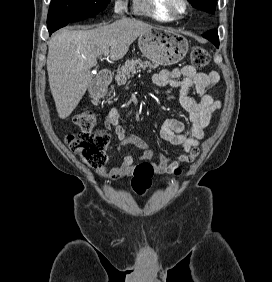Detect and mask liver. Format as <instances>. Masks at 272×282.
Listing matches in <instances>:
<instances>
[{
    "mask_svg": "<svg viewBox=\"0 0 272 282\" xmlns=\"http://www.w3.org/2000/svg\"><path fill=\"white\" fill-rule=\"evenodd\" d=\"M153 26L123 17L90 30L61 29L49 41L47 71L56 110L65 119L76 108L91 84V68L110 48V59H122L130 45Z\"/></svg>",
    "mask_w": 272,
    "mask_h": 282,
    "instance_id": "liver-1",
    "label": "liver"
}]
</instances>
